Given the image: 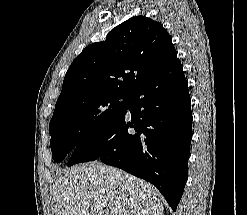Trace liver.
I'll return each mask as SVG.
<instances>
[{"label":"liver","mask_w":247,"mask_h":215,"mask_svg":"<svg viewBox=\"0 0 247 215\" xmlns=\"http://www.w3.org/2000/svg\"><path fill=\"white\" fill-rule=\"evenodd\" d=\"M53 215H162L150 183L100 162L75 165L53 185Z\"/></svg>","instance_id":"liver-1"}]
</instances>
